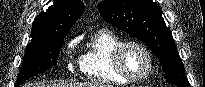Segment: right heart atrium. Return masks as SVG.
Listing matches in <instances>:
<instances>
[{
	"instance_id": "obj_1",
	"label": "right heart atrium",
	"mask_w": 205,
	"mask_h": 87,
	"mask_svg": "<svg viewBox=\"0 0 205 87\" xmlns=\"http://www.w3.org/2000/svg\"><path fill=\"white\" fill-rule=\"evenodd\" d=\"M72 52H73V44H70V45L68 46V48H67V54H68L69 56H72ZM68 68H69V70H70L71 72L74 71V65L72 64V62H69Z\"/></svg>"
}]
</instances>
